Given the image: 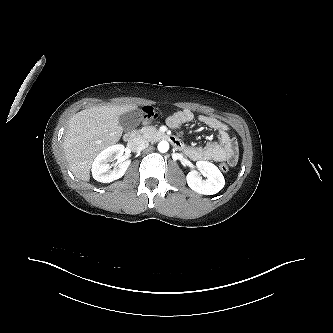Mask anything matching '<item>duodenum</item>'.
<instances>
[{
  "label": "duodenum",
  "mask_w": 333,
  "mask_h": 333,
  "mask_svg": "<svg viewBox=\"0 0 333 333\" xmlns=\"http://www.w3.org/2000/svg\"><path fill=\"white\" fill-rule=\"evenodd\" d=\"M125 141L131 149H136L138 147L139 142V133L135 131H131L125 134ZM161 138L167 142H169L173 147L177 149H181L183 147V144L180 139H178L176 136L167 134V133H161Z\"/></svg>",
  "instance_id": "410a0bca"
}]
</instances>
